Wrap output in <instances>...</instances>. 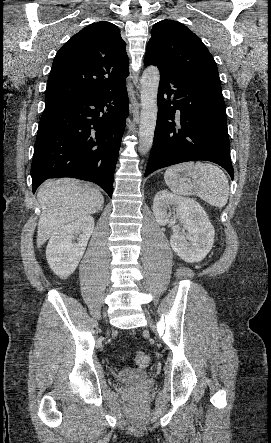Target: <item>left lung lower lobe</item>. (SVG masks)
<instances>
[{"label":"left lung lower lobe","instance_id":"obj_1","mask_svg":"<svg viewBox=\"0 0 271 443\" xmlns=\"http://www.w3.org/2000/svg\"><path fill=\"white\" fill-rule=\"evenodd\" d=\"M160 70L158 116L145 177L181 162L205 160L234 178L226 108L219 78L172 68L145 58Z\"/></svg>","mask_w":271,"mask_h":443}]
</instances>
